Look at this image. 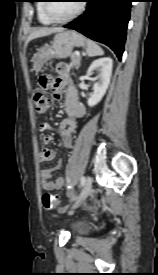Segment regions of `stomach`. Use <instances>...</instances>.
<instances>
[{
    "label": "stomach",
    "mask_w": 158,
    "mask_h": 275,
    "mask_svg": "<svg viewBox=\"0 0 158 275\" xmlns=\"http://www.w3.org/2000/svg\"><path fill=\"white\" fill-rule=\"evenodd\" d=\"M86 45V38L74 30L59 32L49 44L38 49L34 57V65L40 69L50 59H65L69 57L74 47Z\"/></svg>",
    "instance_id": "stomach-1"
}]
</instances>
